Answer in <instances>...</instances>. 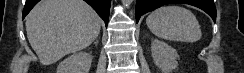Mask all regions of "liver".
<instances>
[{
    "label": "liver",
    "mask_w": 244,
    "mask_h": 73,
    "mask_svg": "<svg viewBox=\"0 0 244 73\" xmlns=\"http://www.w3.org/2000/svg\"><path fill=\"white\" fill-rule=\"evenodd\" d=\"M101 19L83 0H42L26 17L28 41L43 65L88 47Z\"/></svg>",
    "instance_id": "liver-1"
}]
</instances>
